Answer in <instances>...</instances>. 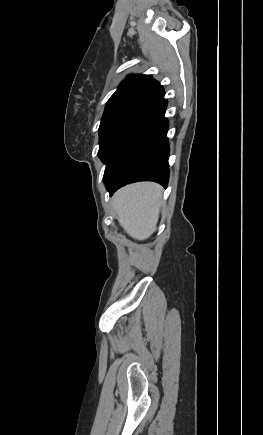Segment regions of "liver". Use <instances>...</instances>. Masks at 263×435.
<instances>
[{"label": "liver", "instance_id": "6515ba94", "mask_svg": "<svg viewBox=\"0 0 263 435\" xmlns=\"http://www.w3.org/2000/svg\"><path fill=\"white\" fill-rule=\"evenodd\" d=\"M162 187L153 182L128 185L114 195V211L125 232L136 240L149 238L156 230Z\"/></svg>", "mask_w": 263, "mask_h": 435}]
</instances>
